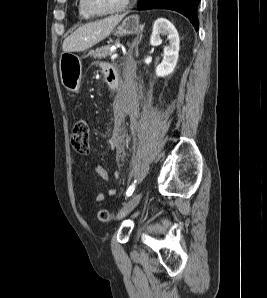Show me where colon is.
<instances>
[{"mask_svg":"<svg viewBox=\"0 0 267 298\" xmlns=\"http://www.w3.org/2000/svg\"><path fill=\"white\" fill-rule=\"evenodd\" d=\"M71 143L74 150L81 155H85L90 149V127L87 121L77 122L71 134ZM101 222H109L114 218L113 212L102 209L98 213Z\"/></svg>","mask_w":267,"mask_h":298,"instance_id":"obj_1","label":"colon"}]
</instances>
